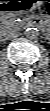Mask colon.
<instances>
[{"label": "colon", "mask_w": 50, "mask_h": 111, "mask_svg": "<svg viewBox=\"0 0 50 111\" xmlns=\"http://www.w3.org/2000/svg\"><path fill=\"white\" fill-rule=\"evenodd\" d=\"M47 11H49V6H47Z\"/></svg>", "instance_id": "obj_1"}]
</instances>
